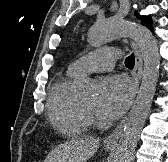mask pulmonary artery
Masks as SVG:
<instances>
[{"instance_id":"obj_1","label":"pulmonary artery","mask_w":168,"mask_h":162,"mask_svg":"<svg viewBox=\"0 0 168 162\" xmlns=\"http://www.w3.org/2000/svg\"><path fill=\"white\" fill-rule=\"evenodd\" d=\"M120 54L117 48H101L81 56L69 69L76 74L106 72L113 68Z\"/></svg>"}]
</instances>
